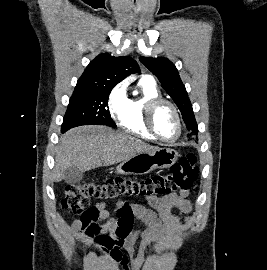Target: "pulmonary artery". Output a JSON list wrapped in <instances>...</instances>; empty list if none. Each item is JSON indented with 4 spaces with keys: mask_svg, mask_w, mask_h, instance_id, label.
Wrapping results in <instances>:
<instances>
[{
    "mask_svg": "<svg viewBox=\"0 0 267 270\" xmlns=\"http://www.w3.org/2000/svg\"><path fill=\"white\" fill-rule=\"evenodd\" d=\"M143 78H145V79H149V80H152V81H153V77H152V76H150V75H145V76H143Z\"/></svg>",
    "mask_w": 267,
    "mask_h": 270,
    "instance_id": "pulmonary-artery-1",
    "label": "pulmonary artery"
}]
</instances>
